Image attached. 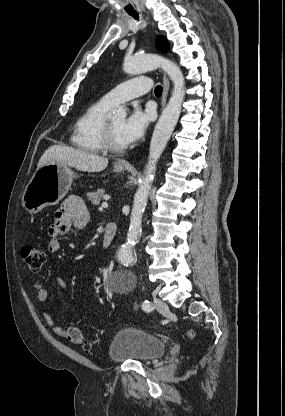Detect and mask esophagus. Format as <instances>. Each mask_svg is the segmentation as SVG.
<instances>
[{
  "label": "esophagus",
  "instance_id": "1",
  "mask_svg": "<svg viewBox=\"0 0 285 416\" xmlns=\"http://www.w3.org/2000/svg\"><path fill=\"white\" fill-rule=\"evenodd\" d=\"M169 79L167 78V76L165 75V73L163 74V94H162V101H161V107L163 108L166 104L167 101V96H168V92H169ZM119 165H123V166H128L130 167V163L127 162L126 160H120Z\"/></svg>",
  "mask_w": 285,
  "mask_h": 416
}]
</instances>
